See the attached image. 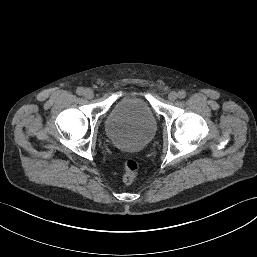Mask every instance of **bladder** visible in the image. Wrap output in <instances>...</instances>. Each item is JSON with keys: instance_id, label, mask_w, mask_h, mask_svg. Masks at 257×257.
Listing matches in <instances>:
<instances>
[{"instance_id": "31cf9c89", "label": "bladder", "mask_w": 257, "mask_h": 257, "mask_svg": "<svg viewBox=\"0 0 257 257\" xmlns=\"http://www.w3.org/2000/svg\"><path fill=\"white\" fill-rule=\"evenodd\" d=\"M106 135L118 148L140 150L149 145L157 133V123L148 102L130 95L117 100L106 119Z\"/></svg>"}]
</instances>
